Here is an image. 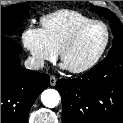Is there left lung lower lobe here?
I'll return each instance as SVG.
<instances>
[{
	"mask_svg": "<svg viewBox=\"0 0 123 123\" xmlns=\"http://www.w3.org/2000/svg\"><path fill=\"white\" fill-rule=\"evenodd\" d=\"M63 123H123V51L75 79H59Z\"/></svg>",
	"mask_w": 123,
	"mask_h": 123,
	"instance_id": "obj_1",
	"label": "left lung lower lobe"
}]
</instances>
